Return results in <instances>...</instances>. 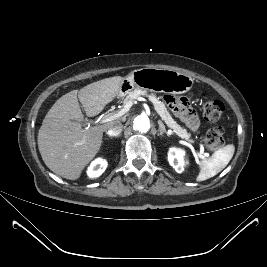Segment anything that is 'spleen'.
I'll use <instances>...</instances> for the list:
<instances>
[{"mask_svg":"<svg viewBox=\"0 0 267 267\" xmlns=\"http://www.w3.org/2000/svg\"><path fill=\"white\" fill-rule=\"evenodd\" d=\"M235 152L233 144L219 148L213 155L200 164V172L196 178L198 182L207 180L221 172L230 162Z\"/></svg>","mask_w":267,"mask_h":267,"instance_id":"obj_1","label":"spleen"}]
</instances>
